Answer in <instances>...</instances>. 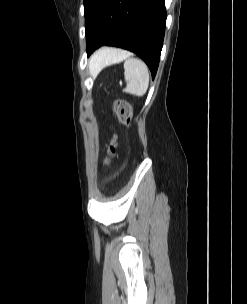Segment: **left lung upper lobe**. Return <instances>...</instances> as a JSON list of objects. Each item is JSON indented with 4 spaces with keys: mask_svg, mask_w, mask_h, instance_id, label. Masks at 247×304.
Instances as JSON below:
<instances>
[{
    "mask_svg": "<svg viewBox=\"0 0 247 304\" xmlns=\"http://www.w3.org/2000/svg\"><path fill=\"white\" fill-rule=\"evenodd\" d=\"M103 0H84L85 25L95 17Z\"/></svg>",
    "mask_w": 247,
    "mask_h": 304,
    "instance_id": "obj_1",
    "label": "left lung upper lobe"
}]
</instances>
